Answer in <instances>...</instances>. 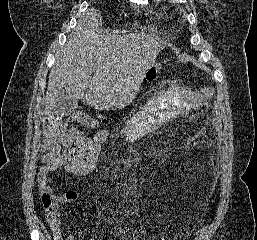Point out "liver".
I'll return each instance as SVG.
<instances>
[{
  "mask_svg": "<svg viewBox=\"0 0 257 240\" xmlns=\"http://www.w3.org/2000/svg\"><path fill=\"white\" fill-rule=\"evenodd\" d=\"M101 20L98 10L88 9L57 51L44 115L52 112L61 93L75 101L85 98L98 111L127 105L143 75L155 65L163 43L145 34L117 36L103 30Z\"/></svg>",
  "mask_w": 257,
  "mask_h": 240,
  "instance_id": "1",
  "label": "liver"
}]
</instances>
